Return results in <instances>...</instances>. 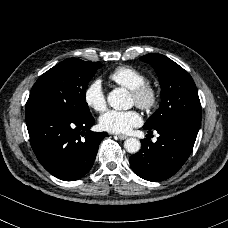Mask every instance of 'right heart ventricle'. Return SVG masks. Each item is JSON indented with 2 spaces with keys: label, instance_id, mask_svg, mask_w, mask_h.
Masks as SVG:
<instances>
[{
  "label": "right heart ventricle",
  "instance_id": "e07e8e85",
  "mask_svg": "<svg viewBox=\"0 0 228 228\" xmlns=\"http://www.w3.org/2000/svg\"><path fill=\"white\" fill-rule=\"evenodd\" d=\"M108 77L114 83L130 91L147 82L144 73L128 65L115 68L109 73Z\"/></svg>",
  "mask_w": 228,
  "mask_h": 228
}]
</instances>
